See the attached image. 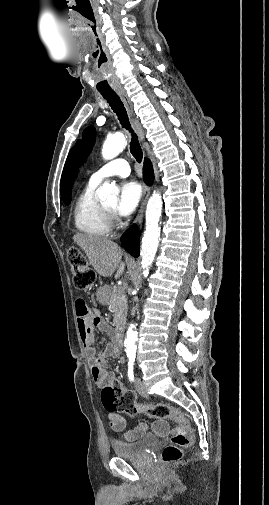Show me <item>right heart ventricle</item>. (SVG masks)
<instances>
[{
	"mask_svg": "<svg viewBox=\"0 0 269 505\" xmlns=\"http://www.w3.org/2000/svg\"><path fill=\"white\" fill-rule=\"evenodd\" d=\"M97 185L89 181L79 194L74 205L73 220L78 231L89 236L102 237L110 231V219L95 196Z\"/></svg>",
	"mask_w": 269,
	"mask_h": 505,
	"instance_id": "e07e8e85",
	"label": "right heart ventricle"
}]
</instances>
